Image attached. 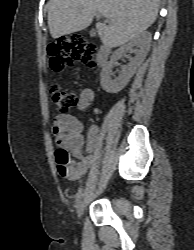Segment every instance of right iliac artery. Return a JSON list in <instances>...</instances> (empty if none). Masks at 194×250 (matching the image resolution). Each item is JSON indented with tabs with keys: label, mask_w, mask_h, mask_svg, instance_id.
<instances>
[{
	"label": "right iliac artery",
	"mask_w": 194,
	"mask_h": 250,
	"mask_svg": "<svg viewBox=\"0 0 194 250\" xmlns=\"http://www.w3.org/2000/svg\"><path fill=\"white\" fill-rule=\"evenodd\" d=\"M82 192H83V188L81 187V188H79L78 193L76 194L75 207H77V205H78V202L82 196Z\"/></svg>",
	"instance_id": "right-iliac-artery-1"
}]
</instances>
